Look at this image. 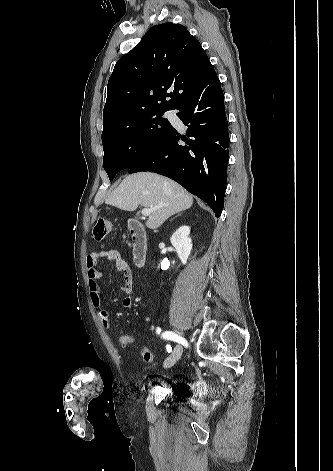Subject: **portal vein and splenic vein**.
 I'll return each mask as SVG.
<instances>
[{
	"instance_id": "portal-vein-and-splenic-vein-1",
	"label": "portal vein and splenic vein",
	"mask_w": 333,
	"mask_h": 471,
	"mask_svg": "<svg viewBox=\"0 0 333 471\" xmlns=\"http://www.w3.org/2000/svg\"><path fill=\"white\" fill-rule=\"evenodd\" d=\"M152 211H153V209H151V208H143L141 213H142L143 216H149Z\"/></svg>"
}]
</instances>
